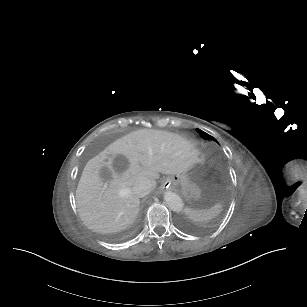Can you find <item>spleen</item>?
Masks as SVG:
<instances>
[{
  "label": "spleen",
  "mask_w": 307,
  "mask_h": 307,
  "mask_svg": "<svg viewBox=\"0 0 307 307\" xmlns=\"http://www.w3.org/2000/svg\"><path fill=\"white\" fill-rule=\"evenodd\" d=\"M222 210V206L220 204H216L210 209H196L194 207H187L184 210V215L187 218H191L193 220H208L216 217Z\"/></svg>",
  "instance_id": "3e777b00"
}]
</instances>
